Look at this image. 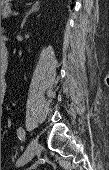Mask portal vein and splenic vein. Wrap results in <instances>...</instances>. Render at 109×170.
Here are the masks:
<instances>
[{
  "label": "portal vein and splenic vein",
  "instance_id": "1",
  "mask_svg": "<svg viewBox=\"0 0 109 170\" xmlns=\"http://www.w3.org/2000/svg\"><path fill=\"white\" fill-rule=\"evenodd\" d=\"M16 15H18V12H14V13H13V16H16Z\"/></svg>",
  "mask_w": 109,
  "mask_h": 170
}]
</instances>
